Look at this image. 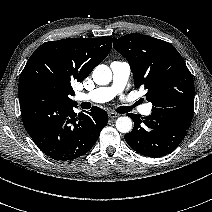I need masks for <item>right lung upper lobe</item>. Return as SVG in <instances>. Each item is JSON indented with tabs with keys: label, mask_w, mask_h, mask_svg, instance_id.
<instances>
[{
	"label": "right lung upper lobe",
	"mask_w": 212,
	"mask_h": 212,
	"mask_svg": "<svg viewBox=\"0 0 212 212\" xmlns=\"http://www.w3.org/2000/svg\"><path fill=\"white\" fill-rule=\"evenodd\" d=\"M112 48V38H68L39 46L23 69L18 93L20 107L41 101L73 104L72 81L82 82Z\"/></svg>",
	"instance_id": "cb5924a9"
}]
</instances>
